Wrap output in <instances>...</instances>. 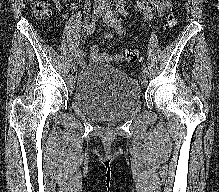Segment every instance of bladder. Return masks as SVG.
Returning <instances> with one entry per match:
<instances>
[{
	"mask_svg": "<svg viewBox=\"0 0 219 192\" xmlns=\"http://www.w3.org/2000/svg\"><path fill=\"white\" fill-rule=\"evenodd\" d=\"M70 102L95 121H121L142 105L143 93L120 69L92 62L77 77Z\"/></svg>",
	"mask_w": 219,
	"mask_h": 192,
	"instance_id": "bladder-1",
	"label": "bladder"
}]
</instances>
